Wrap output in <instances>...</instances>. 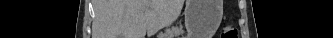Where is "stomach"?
I'll list each match as a JSON object with an SVG mask.
<instances>
[{"label":"stomach","instance_id":"0dacf381","mask_svg":"<svg viewBox=\"0 0 333 38\" xmlns=\"http://www.w3.org/2000/svg\"><path fill=\"white\" fill-rule=\"evenodd\" d=\"M187 11H186V26L188 28H191L192 26V8H193V4H194V1H191L189 0L188 3H187Z\"/></svg>","mask_w":333,"mask_h":38}]
</instances>
